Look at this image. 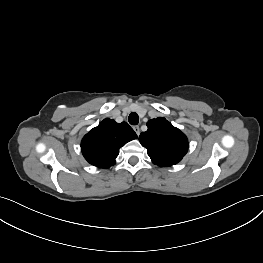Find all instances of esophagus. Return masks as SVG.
<instances>
[{
  "label": "esophagus",
  "instance_id": "1",
  "mask_svg": "<svg viewBox=\"0 0 263 263\" xmlns=\"http://www.w3.org/2000/svg\"><path fill=\"white\" fill-rule=\"evenodd\" d=\"M133 129H134L135 133L139 136L140 135V128H139V126H134Z\"/></svg>",
  "mask_w": 263,
  "mask_h": 263
}]
</instances>
